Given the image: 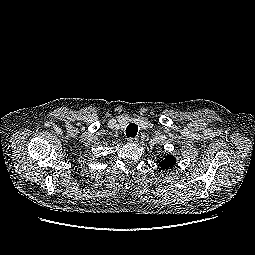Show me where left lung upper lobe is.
Listing matches in <instances>:
<instances>
[{"label":"left lung upper lobe","mask_w":255,"mask_h":255,"mask_svg":"<svg viewBox=\"0 0 255 255\" xmlns=\"http://www.w3.org/2000/svg\"><path fill=\"white\" fill-rule=\"evenodd\" d=\"M176 163V159L173 155H167L159 161V166L162 169L172 168Z\"/></svg>","instance_id":"left-lung-upper-lobe-1"}]
</instances>
